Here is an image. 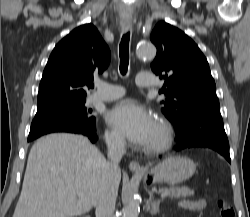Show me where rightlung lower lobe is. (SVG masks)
Here are the masks:
<instances>
[{"label": "right lung lower lobe", "mask_w": 250, "mask_h": 217, "mask_svg": "<svg viewBox=\"0 0 250 217\" xmlns=\"http://www.w3.org/2000/svg\"><path fill=\"white\" fill-rule=\"evenodd\" d=\"M84 135H86L92 142H95L97 140L96 130L93 133H87Z\"/></svg>", "instance_id": "98d812e1"}]
</instances>
